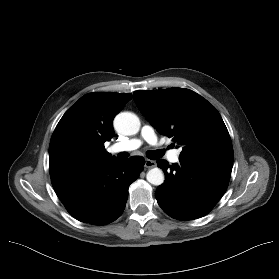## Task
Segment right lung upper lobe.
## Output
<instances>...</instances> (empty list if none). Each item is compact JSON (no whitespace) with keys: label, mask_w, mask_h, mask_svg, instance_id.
I'll list each match as a JSON object with an SVG mask.
<instances>
[{"label":"right lung upper lobe","mask_w":279,"mask_h":279,"mask_svg":"<svg viewBox=\"0 0 279 279\" xmlns=\"http://www.w3.org/2000/svg\"><path fill=\"white\" fill-rule=\"evenodd\" d=\"M131 98L130 93H89L67 110L49 145L51 180L116 158L104 143L114 136L113 119Z\"/></svg>","instance_id":"obj_1"}]
</instances>
